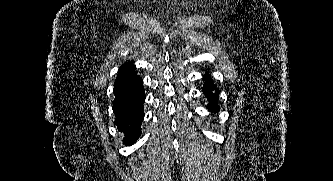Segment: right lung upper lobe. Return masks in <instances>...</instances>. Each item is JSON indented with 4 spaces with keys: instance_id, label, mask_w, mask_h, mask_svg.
<instances>
[{
    "instance_id": "obj_1",
    "label": "right lung upper lobe",
    "mask_w": 333,
    "mask_h": 181,
    "mask_svg": "<svg viewBox=\"0 0 333 181\" xmlns=\"http://www.w3.org/2000/svg\"><path fill=\"white\" fill-rule=\"evenodd\" d=\"M136 75H137V72H136L135 66L130 62L125 63L120 67V69L118 71V76L115 80L114 86H116L122 82H125V81L135 77Z\"/></svg>"
}]
</instances>
